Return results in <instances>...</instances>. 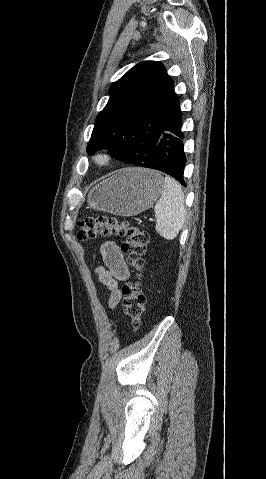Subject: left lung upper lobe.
Listing matches in <instances>:
<instances>
[{"mask_svg":"<svg viewBox=\"0 0 266 479\" xmlns=\"http://www.w3.org/2000/svg\"><path fill=\"white\" fill-rule=\"evenodd\" d=\"M109 94L96 118L87 153L107 148L121 161L139 166L151 162L177 97L165 67L156 61L138 63L110 87Z\"/></svg>","mask_w":266,"mask_h":479,"instance_id":"obj_1","label":"left lung upper lobe"}]
</instances>
